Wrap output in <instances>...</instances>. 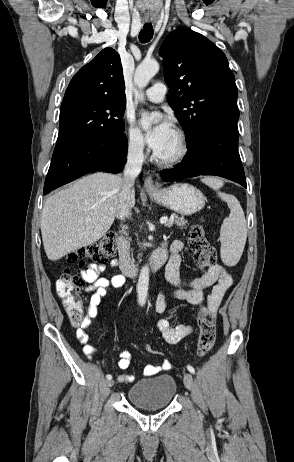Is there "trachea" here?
<instances>
[{
  "mask_svg": "<svg viewBox=\"0 0 294 462\" xmlns=\"http://www.w3.org/2000/svg\"><path fill=\"white\" fill-rule=\"evenodd\" d=\"M153 37V27L151 23H146L139 33V40L141 43L149 42Z\"/></svg>",
  "mask_w": 294,
  "mask_h": 462,
  "instance_id": "obj_1",
  "label": "trachea"
}]
</instances>
